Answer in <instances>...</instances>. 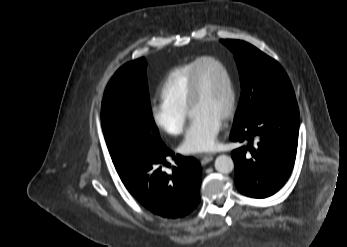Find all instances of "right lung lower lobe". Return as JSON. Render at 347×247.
<instances>
[{"label":"right lung lower lobe","instance_id":"obj_1","mask_svg":"<svg viewBox=\"0 0 347 247\" xmlns=\"http://www.w3.org/2000/svg\"><path fill=\"white\" fill-rule=\"evenodd\" d=\"M168 158L176 166L166 173ZM115 168L129 192L148 210L166 218L183 217L200 202L201 167L191 157H183L165 145L154 152L133 144L112 158Z\"/></svg>","mask_w":347,"mask_h":247}]
</instances>
